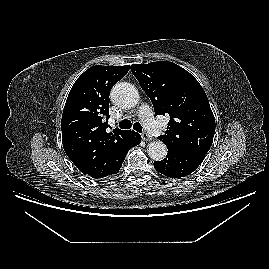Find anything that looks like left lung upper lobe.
<instances>
[{
	"instance_id": "obj_1",
	"label": "left lung upper lobe",
	"mask_w": 269,
	"mask_h": 269,
	"mask_svg": "<svg viewBox=\"0 0 269 269\" xmlns=\"http://www.w3.org/2000/svg\"><path fill=\"white\" fill-rule=\"evenodd\" d=\"M131 71L154 106L155 115L168 114L164 135L171 151L206 154L213 142L215 118L199 82L172 62L135 64Z\"/></svg>"
}]
</instances>
